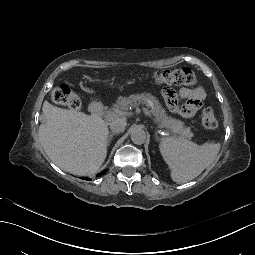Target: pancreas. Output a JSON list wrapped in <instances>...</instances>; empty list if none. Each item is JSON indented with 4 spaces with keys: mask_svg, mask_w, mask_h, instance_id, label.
<instances>
[{
    "mask_svg": "<svg viewBox=\"0 0 255 255\" xmlns=\"http://www.w3.org/2000/svg\"><path fill=\"white\" fill-rule=\"evenodd\" d=\"M153 104V108L150 110L151 114L155 117L156 122H160L163 128L169 129L172 133L179 134L180 136L191 138L193 134L190 132L189 127H184V123L180 120L173 119L166 115L165 110L162 108L156 97L149 93H142L137 95H130L129 97H118L116 103L112 107V111H125L129 110V107H137L140 104H145L150 107L149 103ZM111 113V111H107ZM123 114H116L113 117L118 118Z\"/></svg>",
    "mask_w": 255,
    "mask_h": 255,
    "instance_id": "cf45deb5",
    "label": "pancreas"
}]
</instances>
